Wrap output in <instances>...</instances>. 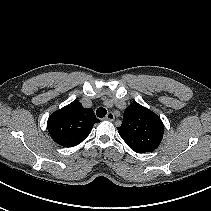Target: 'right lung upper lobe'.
I'll use <instances>...</instances> for the list:
<instances>
[{
	"instance_id": "obj_1",
	"label": "right lung upper lobe",
	"mask_w": 211,
	"mask_h": 211,
	"mask_svg": "<svg viewBox=\"0 0 211 211\" xmlns=\"http://www.w3.org/2000/svg\"><path fill=\"white\" fill-rule=\"evenodd\" d=\"M100 122L92 108H83L75 100L55 111L47 121L52 139L63 147H72L81 143L91 132L93 125Z\"/></svg>"
}]
</instances>
